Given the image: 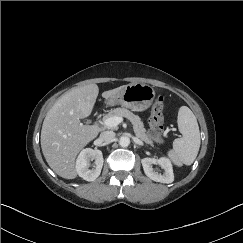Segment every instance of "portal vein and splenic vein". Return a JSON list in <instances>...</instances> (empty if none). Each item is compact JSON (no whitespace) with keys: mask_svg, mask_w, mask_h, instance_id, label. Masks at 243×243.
Returning a JSON list of instances; mask_svg holds the SVG:
<instances>
[{"mask_svg":"<svg viewBox=\"0 0 243 243\" xmlns=\"http://www.w3.org/2000/svg\"><path fill=\"white\" fill-rule=\"evenodd\" d=\"M121 122H123V118L118 116L106 118L103 120V124L109 128L116 127Z\"/></svg>","mask_w":243,"mask_h":243,"instance_id":"1","label":"portal vein and splenic vein"}]
</instances>
